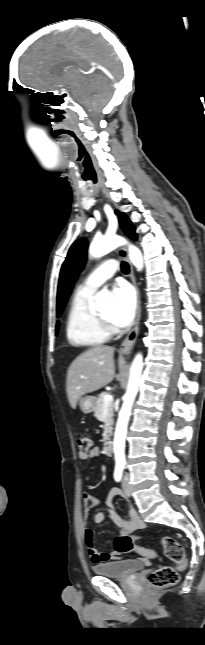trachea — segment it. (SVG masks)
I'll return each instance as SVG.
<instances>
[{
    "instance_id": "3493384b",
    "label": "trachea",
    "mask_w": 205,
    "mask_h": 645,
    "mask_svg": "<svg viewBox=\"0 0 205 645\" xmlns=\"http://www.w3.org/2000/svg\"><path fill=\"white\" fill-rule=\"evenodd\" d=\"M121 270H122V272H123L124 274H128V273H129V265H128V263H127V262L123 261V262L121 263Z\"/></svg>"
}]
</instances>
